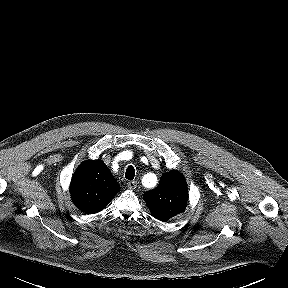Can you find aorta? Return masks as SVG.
Instances as JSON below:
<instances>
[{"mask_svg": "<svg viewBox=\"0 0 288 288\" xmlns=\"http://www.w3.org/2000/svg\"><path fill=\"white\" fill-rule=\"evenodd\" d=\"M150 178H151V182L153 183V185L156 184V177L154 175H150Z\"/></svg>", "mask_w": 288, "mask_h": 288, "instance_id": "762f6f07", "label": "aorta"}]
</instances>
